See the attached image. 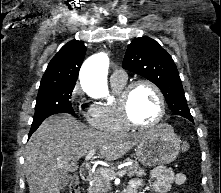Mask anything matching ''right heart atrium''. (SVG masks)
Listing matches in <instances>:
<instances>
[{"label": "right heart atrium", "mask_w": 221, "mask_h": 193, "mask_svg": "<svg viewBox=\"0 0 221 193\" xmlns=\"http://www.w3.org/2000/svg\"><path fill=\"white\" fill-rule=\"evenodd\" d=\"M69 100L71 102L72 105L78 107V108H82L85 106V102H84V98L82 96V91H81V88L78 84H76L71 92H70V95H69ZM87 112L90 108V106H85Z\"/></svg>", "instance_id": "d8ad5b80"}]
</instances>
